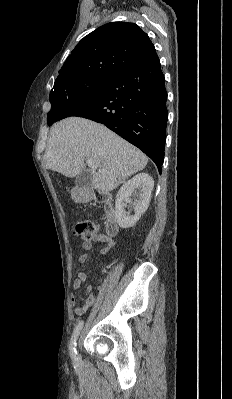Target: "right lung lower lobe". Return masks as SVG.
Returning a JSON list of instances; mask_svg holds the SVG:
<instances>
[{
    "mask_svg": "<svg viewBox=\"0 0 232 399\" xmlns=\"http://www.w3.org/2000/svg\"><path fill=\"white\" fill-rule=\"evenodd\" d=\"M167 92L155 52L146 60L116 73L93 97L70 104L55 120L77 116L102 123L137 146L162 171Z\"/></svg>",
    "mask_w": 232,
    "mask_h": 399,
    "instance_id": "98d812e1",
    "label": "right lung lower lobe"
}]
</instances>
